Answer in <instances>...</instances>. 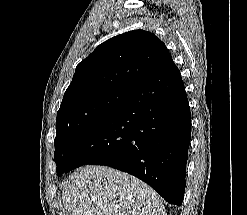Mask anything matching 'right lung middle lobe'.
<instances>
[{"label":"right lung middle lobe","instance_id":"dd1d6c3e","mask_svg":"<svg viewBox=\"0 0 247 215\" xmlns=\"http://www.w3.org/2000/svg\"><path fill=\"white\" fill-rule=\"evenodd\" d=\"M132 91L124 89H83L65 94L57 112L54 159L57 175L67 172L69 155L89 129L114 114Z\"/></svg>","mask_w":247,"mask_h":215}]
</instances>
